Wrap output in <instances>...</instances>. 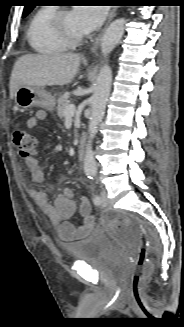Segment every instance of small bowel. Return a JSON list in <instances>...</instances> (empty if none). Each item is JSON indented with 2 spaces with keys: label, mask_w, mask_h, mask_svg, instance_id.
<instances>
[{
  "label": "small bowel",
  "mask_w": 184,
  "mask_h": 327,
  "mask_svg": "<svg viewBox=\"0 0 184 327\" xmlns=\"http://www.w3.org/2000/svg\"><path fill=\"white\" fill-rule=\"evenodd\" d=\"M45 117L46 112L40 110L26 121V126L29 129H33ZM26 165L30 171L32 179L38 184L44 183L45 174L38 159L35 156H32L26 160ZM31 195L36 204L57 226L58 234L62 239L73 240L84 237L93 228L94 219L91 213V204L87 197L83 196L78 206V212L83 221L75 225L69 221L76 210V203L72 199L71 191L69 189L60 193L53 203L50 202L47 193L42 190L33 189L31 190Z\"/></svg>",
  "instance_id": "small-bowel-1"
}]
</instances>
